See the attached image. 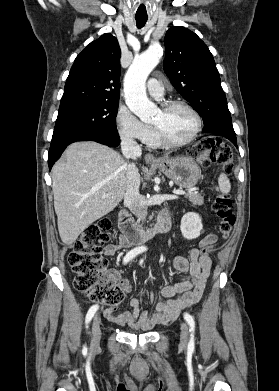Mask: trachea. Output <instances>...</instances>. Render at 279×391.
Here are the masks:
<instances>
[{"label":"trachea","mask_w":279,"mask_h":391,"mask_svg":"<svg viewBox=\"0 0 279 391\" xmlns=\"http://www.w3.org/2000/svg\"><path fill=\"white\" fill-rule=\"evenodd\" d=\"M135 19L138 28H142L147 22V18H135Z\"/></svg>","instance_id":"trachea-1"}]
</instances>
